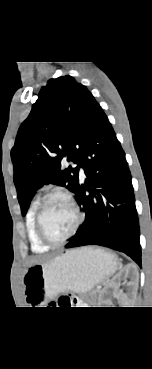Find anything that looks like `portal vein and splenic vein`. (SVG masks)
<instances>
[{"label": "portal vein and splenic vein", "mask_w": 152, "mask_h": 369, "mask_svg": "<svg viewBox=\"0 0 152 369\" xmlns=\"http://www.w3.org/2000/svg\"><path fill=\"white\" fill-rule=\"evenodd\" d=\"M101 288V286H97V289H100Z\"/></svg>", "instance_id": "obj_1"}]
</instances>
